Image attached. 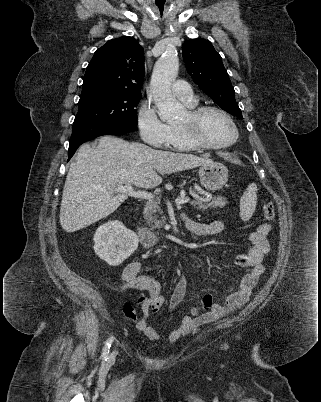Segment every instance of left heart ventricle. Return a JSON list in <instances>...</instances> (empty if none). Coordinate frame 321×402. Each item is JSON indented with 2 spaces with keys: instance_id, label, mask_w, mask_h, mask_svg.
Here are the masks:
<instances>
[{
  "instance_id": "left-heart-ventricle-1",
  "label": "left heart ventricle",
  "mask_w": 321,
  "mask_h": 402,
  "mask_svg": "<svg viewBox=\"0 0 321 402\" xmlns=\"http://www.w3.org/2000/svg\"><path fill=\"white\" fill-rule=\"evenodd\" d=\"M187 112L180 119L179 123L185 121ZM199 133L203 139L212 144H222L230 141L234 132L230 123L217 112L205 113L199 121Z\"/></svg>"
}]
</instances>
